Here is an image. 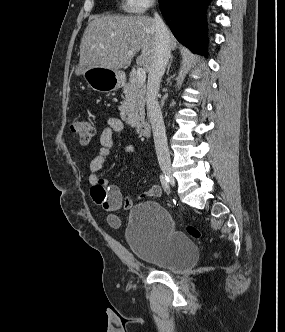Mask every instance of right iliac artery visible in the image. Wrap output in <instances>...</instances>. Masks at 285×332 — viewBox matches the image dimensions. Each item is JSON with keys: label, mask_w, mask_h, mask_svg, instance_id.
<instances>
[{"label": "right iliac artery", "mask_w": 285, "mask_h": 332, "mask_svg": "<svg viewBox=\"0 0 285 332\" xmlns=\"http://www.w3.org/2000/svg\"><path fill=\"white\" fill-rule=\"evenodd\" d=\"M160 181H161V184L165 190L166 193L169 194L170 192V187H169V179H168V176L166 174H161L160 175Z\"/></svg>", "instance_id": "1"}]
</instances>
